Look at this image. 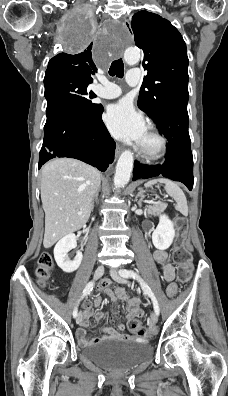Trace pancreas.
Masks as SVG:
<instances>
[{
	"mask_svg": "<svg viewBox=\"0 0 228 396\" xmlns=\"http://www.w3.org/2000/svg\"><path fill=\"white\" fill-rule=\"evenodd\" d=\"M166 209V204L154 203L148 207V212L151 214H156L163 212Z\"/></svg>",
	"mask_w": 228,
	"mask_h": 396,
	"instance_id": "pancreas-1",
	"label": "pancreas"
}]
</instances>
